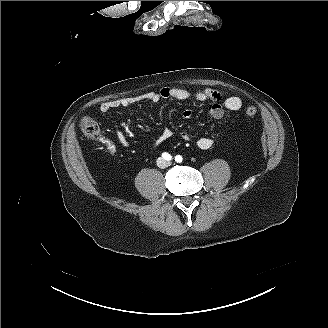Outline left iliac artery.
<instances>
[{
	"label": "left iliac artery",
	"instance_id": "obj_1",
	"mask_svg": "<svg viewBox=\"0 0 328 328\" xmlns=\"http://www.w3.org/2000/svg\"><path fill=\"white\" fill-rule=\"evenodd\" d=\"M175 161H176V162H182V156L177 155V156L175 157Z\"/></svg>",
	"mask_w": 328,
	"mask_h": 328
}]
</instances>
